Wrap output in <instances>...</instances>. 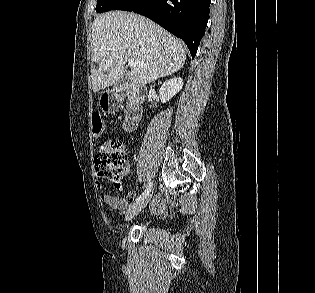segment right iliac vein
Returning <instances> with one entry per match:
<instances>
[{
	"label": "right iliac vein",
	"mask_w": 315,
	"mask_h": 293,
	"mask_svg": "<svg viewBox=\"0 0 315 293\" xmlns=\"http://www.w3.org/2000/svg\"><path fill=\"white\" fill-rule=\"evenodd\" d=\"M151 196H152L151 194H148L146 197H144L140 201L131 205L126 212L125 220L129 221L133 217H135L137 214H139L141 212V210L146 207V205L148 204V202L151 199Z\"/></svg>",
	"instance_id": "obj_1"
}]
</instances>
